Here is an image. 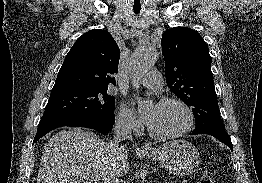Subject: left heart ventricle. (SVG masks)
I'll return each instance as SVG.
<instances>
[{"instance_id":"obj_1","label":"left heart ventricle","mask_w":262,"mask_h":183,"mask_svg":"<svg viewBox=\"0 0 262 183\" xmlns=\"http://www.w3.org/2000/svg\"><path fill=\"white\" fill-rule=\"evenodd\" d=\"M147 113L152 115L148 126L160 135L174 134L184 129L188 124L186 111L175 103L166 105L157 104L150 107Z\"/></svg>"}]
</instances>
